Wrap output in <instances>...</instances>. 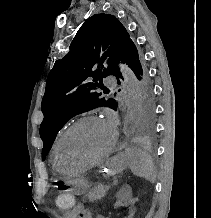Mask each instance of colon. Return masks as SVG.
<instances>
[{"instance_id":"1","label":"colon","mask_w":211,"mask_h":218,"mask_svg":"<svg viewBox=\"0 0 211 218\" xmlns=\"http://www.w3.org/2000/svg\"><path fill=\"white\" fill-rule=\"evenodd\" d=\"M58 207L62 209L75 208V198L68 188H60L56 197Z\"/></svg>"}]
</instances>
